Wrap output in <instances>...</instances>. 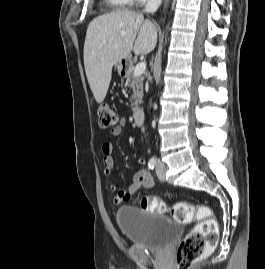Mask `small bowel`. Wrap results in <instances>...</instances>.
I'll return each mask as SVG.
<instances>
[{
	"label": "small bowel",
	"instance_id": "small-bowel-1",
	"mask_svg": "<svg viewBox=\"0 0 265 269\" xmlns=\"http://www.w3.org/2000/svg\"><path fill=\"white\" fill-rule=\"evenodd\" d=\"M125 126V121L122 120L116 127L111 129L114 136H119L122 133V128ZM114 147L111 142H105L102 145L103 163H104V173L109 175L114 168L115 161L113 157ZM137 163L140 166H144L146 161L144 158H139ZM155 186V180L152 175L147 170L138 171L132 182L128 185L126 189L117 190L116 184L112 181H108V189L114 192L113 203L115 205H121L125 202L130 201L137 191L143 187L145 189H151Z\"/></svg>",
	"mask_w": 265,
	"mask_h": 269
}]
</instances>
